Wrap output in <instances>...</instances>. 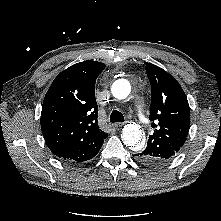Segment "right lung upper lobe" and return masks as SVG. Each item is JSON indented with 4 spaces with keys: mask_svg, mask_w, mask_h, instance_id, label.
Listing matches in <instances>:
<instances>
[{
    "mask_svg": "<svg viewBox=\"0 0 221 221\" xmlns=\"http://www.w3.org/2000/svg\"><path fill=\"white\" fill-rule=\"evenodd\" d=\"M105 64L76 63L61 72L47 91L41 112V129L57 157L76 162L93 158L108 136L97 124L95 82Z\"/></svg>",
    "mask_w": 221,
    "mask_h": 221,
    "instance_id": "1",
    "label": "right lung upper lobe"
}]
</instances>
